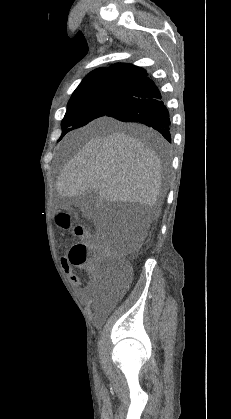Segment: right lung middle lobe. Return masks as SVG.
Here are the masks:
<instances>
[{
    "label": "right lung middle lobe",
    "instance_id": "right-lung-middle-lobe-1",
    "mask_svg": "<svg viewBox=\"0 0 231 419\" xmlns=\"http://www.w3.org/2000/svg\"><path fill=\"white\" fill-rule=\"evenodd\" d=\"M134 88L133 86L106 85L74 91L62 120L63 134L61 137L72 129L82 127L96 118L105 116L124 101Z\"/></svg>",
    "mask_w": 231,
    "mask_h": 419
}]
</instances>
